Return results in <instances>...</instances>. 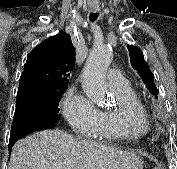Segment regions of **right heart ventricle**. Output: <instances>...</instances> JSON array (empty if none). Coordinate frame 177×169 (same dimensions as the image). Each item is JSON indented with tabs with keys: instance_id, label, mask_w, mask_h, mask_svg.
<instances>
[{
	"instance_id": "e07e8e85",
	"label": "right heart ventricle",
	"mask_w": 177,
	"mask_h": 169,
	"mask_svg": "<svg viewBox=\"0 0 177 169\" xmlns=\"http://www.w3.org/2000/svg\"><path fill=\"white\" fill-rule=\"evenodd\" d=\"M118 106L112 110L99 111L95 138L111 141L135 140L148 131L144 107L135 90L113 91Z\"/></svg>"
}]
</instances>
